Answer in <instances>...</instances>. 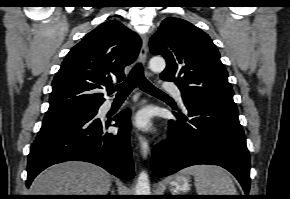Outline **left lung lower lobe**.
<instances>
[{"label":"left lung lower lobe","instance_id":"0a47b994","mask_svg":"<svg viewBox=\"0 0 290 199\" xmlns=\"http://www.w3.org/2000/svg\"><path fill=\"white\" fill-rule=\"evenodd\" d=\"M184 104L189 118L174 112L178 120L170 121L168 140L157 144L152 153L153 175L165 177L198 164L219 165L238 179L249 198L250 158L238 111L199 100Z\"/></svg>","mask_w":290,"mask_h":199}]
</instances>
